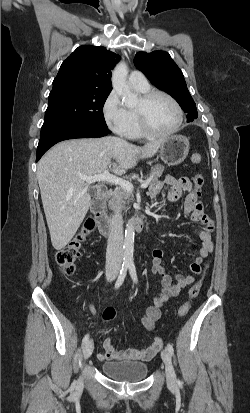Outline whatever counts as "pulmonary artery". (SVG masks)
Segmentation results:
<instances>
[{"mask_svg": "<svg viewBox=\"0 0 250 413\" xmlns=\"http://www.w3.org/2000/svg\"><path fill=\"white\" fill-rule=\"evenodd\" d=\"M129 84L134 88H145L148 86L145 76L139 71H133L128 77Z\"/></svg>", "mask_w": 250, "mask_h": 413, "instance_id": "pulmonary-artery-1", "label": "pulmonary artery"}]
</instances>
